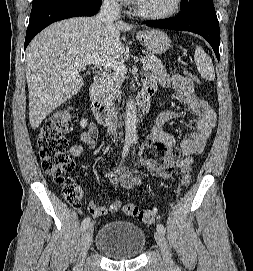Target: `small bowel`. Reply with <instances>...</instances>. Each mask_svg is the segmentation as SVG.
<instances>
[{"label": "small bowel", "instance_id": "1", "mask_svg": "<svg viewBox=\"0 0 253 271\" xmlns=\"http://www.w3.org/2000/svg\"><path fill=\"white\" fill-rule=\"evenodd\" d=\"M195 79L184 75L158 74L148 77L145 90L154 93L158 87L172 88L176 91L178 99L185 105L183 112L173 110L162 111L154 120L150 134L144 140L145 148H158L162 150L159 159L143 158L142 163L148 171L159 178H168L174 170L187 174L191 170L193 155L204 151L205 146L216 125V114L207 102L194 94ZM177 117L190 118L193 128L190 134L177 145L173 134L165 132L162 127L168 121ZM79 144L72 145L70 154L79 157L85 148L95 149L98 145V128L90 124L86 131L77 135ZM181 154L183 155L181 157ZM109 181L114 188L132 189L141 183L140 175L123 166H118L109 173ZM89 212L95 216H105L109 209L105 206L89 204Z\"/></svg>", "mask_w": 253, "mask_h": 271}]
</instances>
